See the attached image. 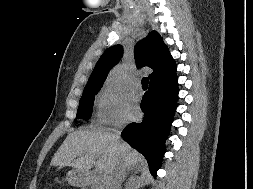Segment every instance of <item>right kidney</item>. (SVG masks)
Segmentation results:
<instances>
[{"label": "right kidney", "mask_w": 253, "mask_h": 189, "mask_svg": "<svg viewBox=\"0 0 253 189\" xmlns=\"http://www.w3.org/2000/svg\"><path fill=\"white\" fill-rule=\"evenodd\" d=\"M135 180H136L135 178L130 180V182L128 183L129 189H131L130 186H132V184H133V182H134Z\"/></svg>", "instance_id": "right-kidney-1"}]
</instances>
